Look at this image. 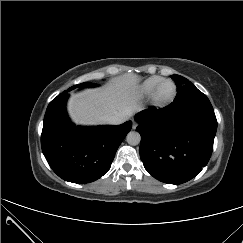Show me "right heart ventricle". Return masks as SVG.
Here are the masks:
<instances>
[{
    "label": "right heart ventricle",
    "mask_w": 243,
    "mask_h": 243,
    "mask_svg": "<svg viewBox=\"0 0 243 243\" xmlns=\"http://www.w3.org/2000/svg\"><path fill=\"white\" fill-rule=\"evenodd\" d=\"M165 80L161 76H151L143 80L135 89V95L139 98H149L156 87Z\"/></svg>",
    "instance_id": "right-heart-ventricle-1"
}]
</instances>
